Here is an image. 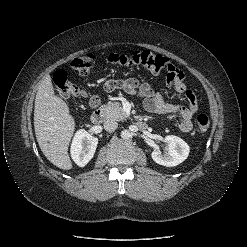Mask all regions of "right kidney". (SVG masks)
<instances>
[{"instance_id":"1","label":"right kidney","mask_w":247,"mask_h":247,"mask_svg":"<svg viewBox=\"0 0 247 247\" xmlns=\"http://www.w3.org/2000/svg\"><path fill=\"white\" fill-rule=\"evenodd\" d=\"M98 139L81 129L76 132L71 144V157L80 167H84L93 158Z\"/></svg>"}]
</instances>
